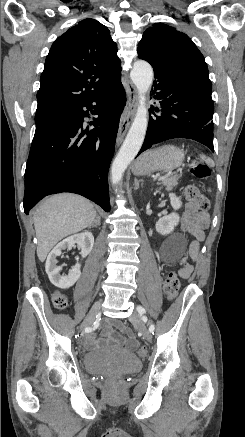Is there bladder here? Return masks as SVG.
Returning <instances> with one entry per match:
<instances>
[{"label":"bladder","mask_w":245,"mask_h":437,"mask_svg":"<svg viewBox=\"0 0 245 437\" xmlns=\"http://www.w3.org/2000/svg\"><path fill=\"white\" fill-rule=\"evenodd\" d=\"M85 369L92 374H129L141 368L133 353L117 348L97 349L84 354Z\"/></svg>","instance_id":"bladder-1"}]
</instances>
